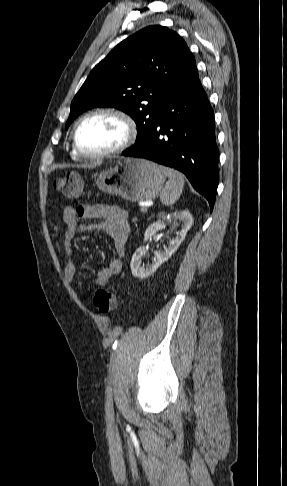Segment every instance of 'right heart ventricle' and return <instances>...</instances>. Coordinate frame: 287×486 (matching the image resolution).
I'll return each instance as SVG.
<instances>
[{"instance_id": "right-heart-ventricle-1", "label": "right heart ventricle", "mask_w": 287, "mask_h": 486, "mask_svg": "<svg viewBox=\"0 0 287 486\" xmlns=\"http://www.w3.org/2000/svg\"><path fill=\"white\" fill-rule=\"evenodd\" d=\"M72 155L77 156V154L75 153V151H72Z\"/></svg>"}]
</instances>
